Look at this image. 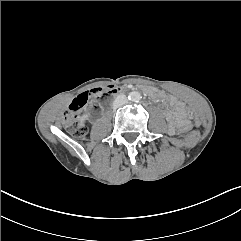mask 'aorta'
<instances>
[{
  "mask_svg": "<svg viewBox=\"0 0 241 241\" xmlns=\"http://www.w3.org/2000/svg\"><path fill=\"white\" fill-rule=\"evenodd\" d=\"M141 94L139 92H131L129 95V99L133 102H138L141 99Z\"/></svg>",
  "mask_w": 241,
  "mask_h": 241,
  "instance_id": "obj_1",
  "label": "aorta"
}]
</instances>
